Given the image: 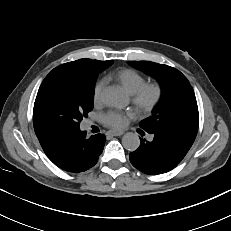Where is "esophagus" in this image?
<instances>
[{
    "mask_svg": "<svg viewBox=\"0 0 231 231\" xmlns=\"http://www.w3.org/2000/svg\"><path fill=\"white\" fill-rule=\"evenodd\" d=\"M123 134H124L123 131H109L107 135H109V136H121Z\"/></svg>",
    "mask_w": 231,
    "mask_h": 231,
    "instance_id": "esophagus-1",
    "label": "esophagus"
}]
</instances>
